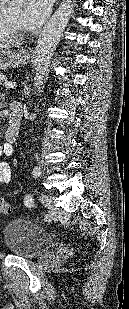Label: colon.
I'll use <instances>...</instances> for the list:
<instances>
[{
	"label": "colon",
	"mask_w": 129,
	"mask_h": 309,
	"mask_svg": "<svg viewBox=\"0 0 129 309\" xmlns=\"http://www.w3.org/2000/svg\"><path fill=\"white\" fill-rule=\"evenodd\" d=\"M12 210V206L10 203L0 200V213L2 214H9Z\"/></svg>",
	"instance_id": "5ec220e1"
}]
</instances>
